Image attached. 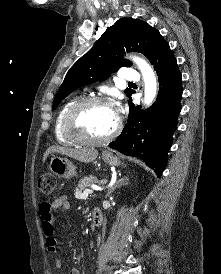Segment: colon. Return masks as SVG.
Here are the masks:
<instances>
[{
	"label": "colon",
	"instance_id": "1",
	"mask_svg": "<svg viewBox=\"0 0 221 274\" xmlns=\"http://www.w3.org/2000/svg\"><path fill=\"white\" fill-rule=\"evenodd\" d=\"M40 191L44 195H50L53 193L55 187H56V178L51 173H46L42 175L39 179L38 183Z\"/></svg>",
	"mask_w": 221,
	"mask_h": 274
}]
</instances>
